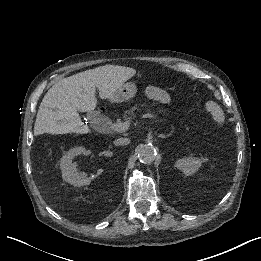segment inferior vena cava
I'll list each match as a JSON object with an SVG mask.
<instances>
[{"instance_id": "inferior-vena-cava-1", "label": "inferior vena cava", "mask_w": 261, "mask_h": 261, "mask_svg": "<svg viewBox=\"0 0 261 261\" xmlns=\"http://www.w3.org/2000/svg\"><path fill=\"white\" fill-rule=\"evenodd\" d=\"M116 142L119 145L128 144L130 142V139L129 138H120V139H117Z\"/></svg>"}]
</instances>
